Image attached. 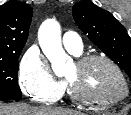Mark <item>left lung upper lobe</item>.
Here are the masks:
<instances>
[{
	"label": "left lung upper lobe",
	"mask_w": 131,
	"mask_h": 115,
	"mask_svg": "<svg viewBox=\"0 0 131 115\" xmlns=\"http://www.w3.org/2000/svg\"><path fill=\"white\" fill-rule=\"evenodd\" d=\"M78 27L98 48L123 69L131 80V38L114 16L90 0L73 6Z\"/></svg>",
	"instance_id": "left-lung-upper-lobe-1"
}]
</instances>
